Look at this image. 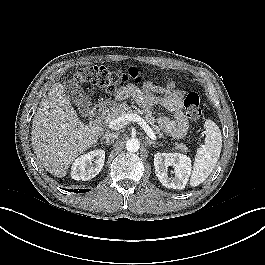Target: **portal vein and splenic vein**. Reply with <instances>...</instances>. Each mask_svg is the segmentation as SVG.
I'll return each instance as SVG.
<instances>
[{
  "mask_svg": "<svg viewBox=\"0 0 265 265\" xmlns=\"http://www.w3.org/2000/svg\"><path fill=\"white\" fill-rule=\"evenodd\" d=\"M135 121L137 122L146 132V134L152 139L156 140V135L151 127L147 124V122L138 114L136 113H126L121 115L120 117L109 121L108 127L112 130H119L122 129L127 123Z\"/></svg>",
  "mask_w": 265,
  "mask_h": 265,
  "instance_id": "obj_1",
  "label": "portal vein and splenic vein"
}]
</instances>
